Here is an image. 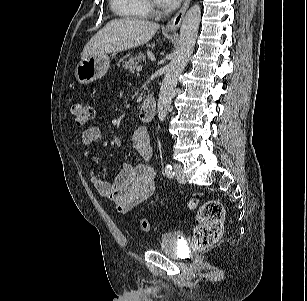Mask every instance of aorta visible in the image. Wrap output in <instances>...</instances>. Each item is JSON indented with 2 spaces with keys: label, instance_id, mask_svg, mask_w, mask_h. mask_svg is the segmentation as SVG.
I'll use <instances>...</instances> for the list:
<instances>
[{
  "label": "aorta",
  "instance_id": "1",
  "mask_svg": "<svg viewBox=\"0 0 307 301\" xmlns=\"http://www.w3.org/2000/svg\"><path fill=\"white\" fill-rule=\"evenodd\" d=\"M201 20V8L194 4L185 14L181 27L178 45L171 62L167 65L158 98V119L163 122L171 104L172 93L178 78L186 67L194 50Z\"/></svg>",
  "mask_w": 307,
  "mask_h": 301
}]
</instances>
